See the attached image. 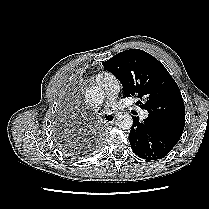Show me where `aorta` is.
<instances>
[{"instance_id":"obj_1","label":"aorta","mask_w":209,"mask_h":209,"mask_svg":"<svg viewBox=\"0 0 209 209\" xmlns=\"http://www.w3.org/2000/svg\"><path fill=\"white\" fill-rule=\"evenodd\" d=\"M105 97L104 91L98 86H91L86 89L85 99L89 104L99 105ZM116 125L122 129H130L133 119L128 113H120L116 117Z\"/></svg>"}]
</instances>
